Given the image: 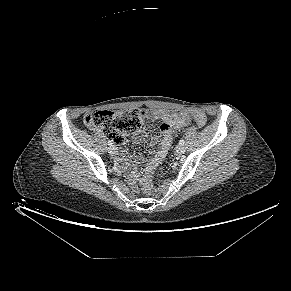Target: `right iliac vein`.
I'll list each match as a JSON object with an SVG mask.
<instances>
[{"label": "right iliac vein", "instance_id": "right-iliac-vein-1", "mask_svg": "<svg viewBox=\"0 0 291 291\" xmlns=\"http://www.w3.org/2000/svg\"><path fill=\"white\" fill-rule=\"evenodd\" d=\"M108 151H109V153H110L111 155H113V154H115V152H116V148H115L114 146H111V147L108 148Z\"/></svg>", "mask_w": 291, "mask_h": 291}]
</instances>
